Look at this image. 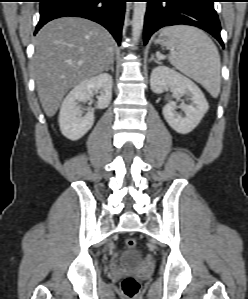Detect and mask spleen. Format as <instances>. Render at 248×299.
<instances>
[{
	"mask_svg": "<svg viewBox=\"0 0 248 299\" xmlns=\"http://www.w3.org/2000/svg\"><path fill=\"white\" fill-rule=\"evenodd\" d=\"M162 45L170 50L169 62L180 72L201 84L212 97H218L221 87V61L214 42L202 30L176 25L162 29Z\"/></svg>",
	"mask_w": 248,
	"mask_h": 299,
	"instance_id": "spleen-1",
	"label": "spleen"
}]
</instances>
